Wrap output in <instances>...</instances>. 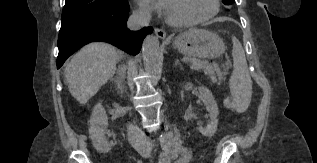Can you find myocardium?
Returning <instances> with one entry per match:
<instances>
[{"label": "myocardium", "mask_w": 317, "mask_h": 163, "mask_svg": "<svg viewBox=\"0 0 317 163\" xmlns=\"http://www.w3.org/2000/svg\"><path fill=\"white\" fill-rule=\"evenodd\" d=\"M218 12H219V0H211V10L209 11L208 14H206L203 17H199L191 21L179 22V21L172 20L166 14H164V19H165V22L172 27L189 28V27H194L213 19L218 14Z\"/></svg>", "instance_id": "myocardium-1"}]
</instances>
